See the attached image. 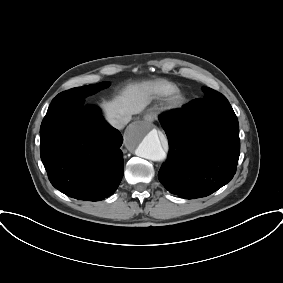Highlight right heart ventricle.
<instances>
[{"mask_svg":"<svg viewBox=\"0 0 283 283\" xmlns=\"http://www.w3.org/2000/svg\"><path fill=\"white\" fill-rule=\"evenodd\" d=\"M154 88L157 91V93L161 95L170 94L175 91L174 85L162 80L156 81L154 84Z\"/></svg>","mask_w":283,"mask_h":283,"instance_id":"1","label":"right heart ventricle"}]
</instances>
